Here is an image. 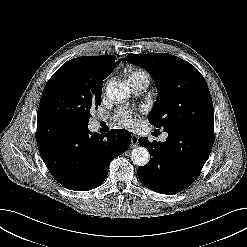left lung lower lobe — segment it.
Returning <instances> with one entry per match:
<instances>
[{
	"instance_id": "0a47b994",
	"label": "left lung lower lobe",
	"mask_w": 247,
	"mask_h": 247,
	"mask_svg": "<svg viewBox=\"0 0 247 247\" xmlns=\"http://www.w3.org/2000/svg\"><path fill=\"white\" fill-rule=\"evenodd\" d=\"M165 142L139 138L148 149L150 161L137 170L139 180L150 190L161 194L178 193L198 177L210 155L214 135L199 131L168 132Z\"/></svg>"
}]
</instances>
